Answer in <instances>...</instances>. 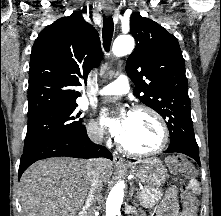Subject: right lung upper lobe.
I'll return each mask as SVG.
<instances>
[{"instance_id":"obj_1","label":"right lung upper lobe","mask_w":221,"mask_h":216,"mask_svg":"<svg viewBox=\"0 0 221 216\" xmlns=\"http://www.w3.org/2000/svg\"><path fill=\"white\" fill-rule=\"evenodd\" d=\"M82 11L45 27L34 42L29 69L28 115L76 104L75 87L102 59L96 29Z\"/></svg>"}]
</instances>
